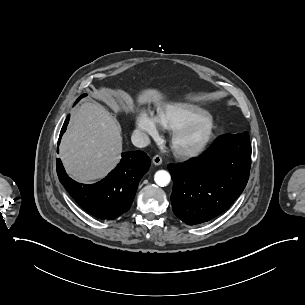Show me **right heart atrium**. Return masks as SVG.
I'll list each match as a JSON object with an SVG mask.
<instances>
[{
    "label": "right heart atrium",
    "instance_id": "1",
    "mask_svg": "<svg viewBox=\"0 0 305 305\" xmlns=\"http://www.w3.org/2000/svg\"><path fill=\"white\" fill-rule=\"evenodd\" d=\"M137 129L148 133L149 135H156L158 124L156 118L147 113H141L136 120Z\"/></svg>",
    "mask_w": 305,
    "mask_h": 305
}]
</instances>
